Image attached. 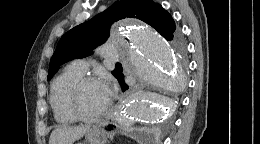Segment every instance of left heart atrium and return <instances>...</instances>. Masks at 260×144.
I'll use <instances>...</instances> for the list:
<instances>
[{
	"mask_svg": "<svg viewBox=\"0 0 260 144\" xmlns=\"http://www.w3.org/2000/svg\"><path fill=\"white\" fill-rule=\"evenodd\" d=\"M101 89L106 97V99L109 102L110 97L113 94V86H112V81L110 79H105L100 82Z\"/></svg>",
	"mask_w": 260,
	"mask_h": 144,
	"instance_id": "obj_1",
	"label": "left heart atrium"
}]
</instances>
